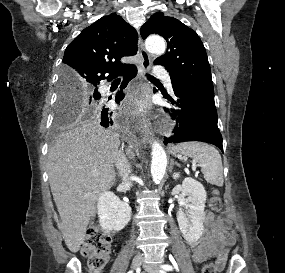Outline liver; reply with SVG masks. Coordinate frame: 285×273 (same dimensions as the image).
Wrapping results in <instances>:
<instances>
[{"instance_id": "liver-1", "label": "liver", "mask_w": 285, "mask_h": 273, "mask_svg": "<svg viewBox=\"0 0 285 273\" xmlns=\"http://www.w3.org/2000/svg\"><path fill=\"white\" fill-rule=\"evenodd\" d=\"M119 146L118 134L88 123L61 134L49 150L50 188L62 220L59 229L71 252L80 250L96 202L114 184ZM128 153L134 156L131 146Z\"/></svg>"}]
</instances>
